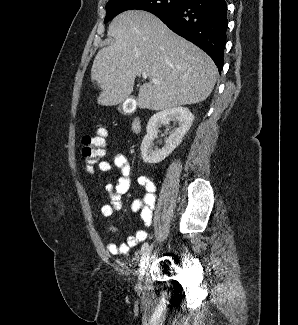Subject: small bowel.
Instances as JSON below:
<instances>
[{"label":"small bowel","instance_id":"obj_1","mask_svg":"<svg viewBox=\"0 0 298 325\" xmlns=\"http://www.w3.org/2000/svg\"><path fill=\"white\" fill-rule=\"evenodd\" d=\"M98 168L102 172L108 173L110 176H113L118 172L121 175L115 184L108 183L105 186V189L110 196V203L104 204L101 207V214L104 217H111L115 212L121 209L122 198L129 191L132 168L127 158L121 153H115L111 162L100 161L98 163ZM137 183L143 190V196L141 199H136L132 202L131 210L133 213H139L144 225L148 227L151 224L156 204V185L146 176L138 177ZM109 231L115 232L116 228L110 227ZM146 237V231L139 230L135 234L128 236L125 243L120 245L108 243L106 249L108 253L112 255H123L131 248L143 242Z\"/></svg>","mask_w":298,"mask_h":325}]
</instances>
